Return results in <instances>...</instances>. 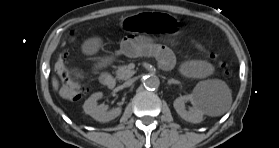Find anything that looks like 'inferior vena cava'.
I'll return each mask as SVG.
<instances>
[{"mask_svg": "<svg viewBox=\"0 0 279 148\" xmlns=\"http://www.w3.org/2000/svg\"><path fill=\"white\" fill-rule=\"evenodd\" d=\"M133 82H134V79H130V80L126 81L124 84H125V86H130V85H132Z\"/></svg>", "mask_w": 279, "mask_h": 148, "instance_id": "1", "label": "inferior vena cava"}]
</instances>
